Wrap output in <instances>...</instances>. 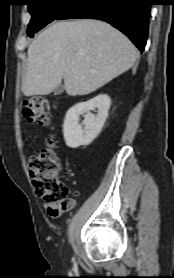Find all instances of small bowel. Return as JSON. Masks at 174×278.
I'll return each mask as SVG.
<instances>
[{
  "label": "small bowel",
  "instance_id": "c3829d8e",
  "mask_svg": "<svg viewBox=\"0 0 174 278\" xmlns=\"http://www.w3.org/2000/svg\"><path fill=\"white\" fill-rule=\"evenodd\" d=\"M76 205L74 198H69L64 204L49 205L45 203L44 207L47 213L52 217H59L64 212L71 210Z\"/></svg>",
  "mask_w": 174,
  "mask_h": 278
}]
</instances>
